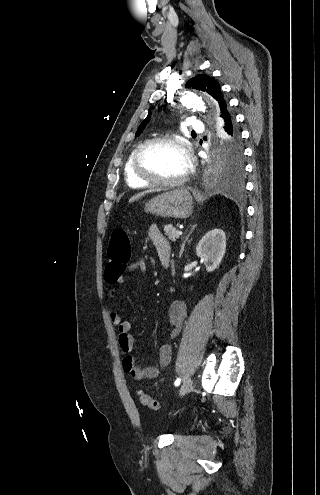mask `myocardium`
<instances>
[{"label": "myocardium", "instance_id": "1", "mask_svg": "<svg viewBox=\"0 0 320 495\" xmlns=\"http://www.w3.org/2000/svg\"><path fill=\"white\" fill-rule=\"evenodd\" d=\"M160 143L174 144V145L180 147L182 149V151L184 152V154L186 156V160H187V167H186L185 172L179 178L174 179V180L157 178V177H154L151 174H149L142 167L141 158H142L144 151L147 148H149L150 146H153L155 144H160ZM132 170H133L134 175L138 179H140L144 182H147L150 185L171 186V187L180 185L186 181L190 172L192 171V155H191L190 146L185 140H183L179 137L171 136V135H163V136H158V137L148 139V140L144 141L143 143H141L135 149V152H134L133 158H132Z\"/></svg>", "mask_w": 320, "mask_h": 495}]
</instances>
